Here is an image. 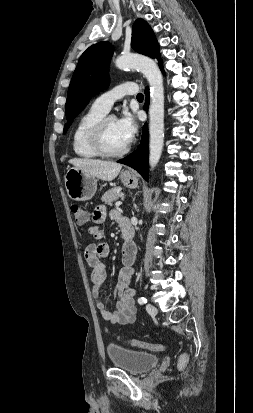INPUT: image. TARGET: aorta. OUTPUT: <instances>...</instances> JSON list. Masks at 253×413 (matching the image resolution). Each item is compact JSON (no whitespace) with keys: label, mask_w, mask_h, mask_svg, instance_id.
Returning <instances> with one entry per match:
<instances>
[{"label":"aorta","mask_w":253,"mask_h":413,"mask_svg":"<svg viewBox=\"0 0 253 413\" xmlns=\"http://www.w3.org/2000/svg\"><path fill=\"white\" fill-rule=\"evenodd\" d=\"M119 69H137L150 86L149 106V165L158 164L164 145V86L161 71L152 59L138 54L121 55L115 61Z\"/></svg>","instance_id":"1"}]
</instances>
